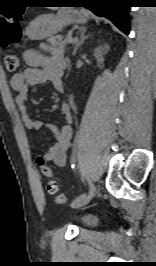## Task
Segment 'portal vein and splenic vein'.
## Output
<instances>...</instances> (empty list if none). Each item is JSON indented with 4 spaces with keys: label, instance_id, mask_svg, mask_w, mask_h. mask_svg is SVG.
<instances>
[{
    "label": "portal vein and splenic vein",
    "instance_id": "1",
    "mask_svg": "<svg viewBox=\"0 0 156 266\" xmlns=\"http://www.w3.org/2000/svg\"><path fill=\"white\" fill-rule=\"evenodd\" d=\"M67 42L68 43H72V42L75 43L76 42V39H73V38L70 37V38H67Z\"/></svg>",
    "mask_w": 156,
    "mask_h": 266
}]
</instances>
